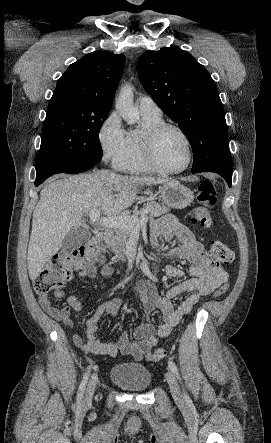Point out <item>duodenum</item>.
<instances>
[{"label":"duodenum","mask_w":271,"mask_h":443,"mask_svg":"<svg viewBox=\"0 0 271 443\" xmlns=\"http://www.w3.org/2000/svg\"><path fill=\"white\" fill-rule=\"evenodd\" d=\"M96 237L98 240L102 242H109L111 240L112 235L109 231L101 230L97 232Z\"/></svg>","instance_id":"1"}]
</instances>
